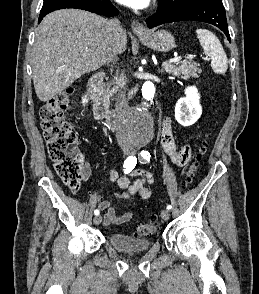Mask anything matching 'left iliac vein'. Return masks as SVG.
Masks as SVG:
<instances>
[{"instance_id": "1", "label": "left iliac vein", "mask_w": 259, "mask_h": 294, "mask_svg": "<svg viewBox=\"0 0 259 294\" xmlns=\"http://www.w3.org/2000/svg\"><path fill=\"white\" fill-rule=\"evenodd\" d=\"M170 213L168 209H163L161 211V217L163 220L167 221L169 219Z\"/></svg>"}]
</instances>
